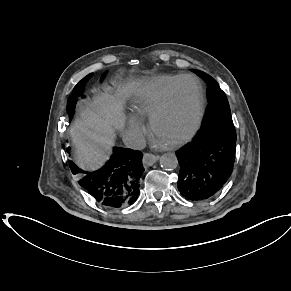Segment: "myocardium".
Wrapping results in <instances>:
<instances>
[{
	"label": "myocardium",
	"mask_w": 291,
	"mask_h": 291,
	"mask_svg": "<svg viewBox=\"0 0 291 291\" xmlns=\"http://www.w3.org/2000/svg\"><path fill=\"white\" fill-rule=\"evenodd\" d=\"M185 81H192L196 86L197 102L195 121L191 129L185 135L168 143L172 147H177L188 142L191 138L194 137V135L201 127L205 111V95L201 82L193 75L180 76L178 80L167 90L160 105L156 108V110L151 114L149 118L150 129L152 132H154L156 122L169 110L172 105L174 95Z\"/></svg>",
	"instance_id": "myocardium-1"
}]
</instances>
